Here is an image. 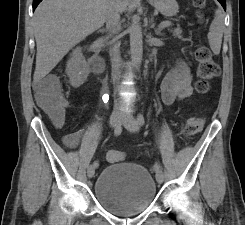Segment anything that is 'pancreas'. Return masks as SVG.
Returning a JSON list of instances; mask_svg holds the SVG:
<instances>
[{
	"mask_svg": "<svg viewBox=\"0 0 245 225\" xmlns=\"http://www.w3.org/2000/svg\"><path fill=\"white\" fill-rule=\"evenodd\" d=\"M174 36L181 37L182 29L180 27H177L175 29L170 30Z\"/></svg>",
	"mask_w": 245,
	"mask_h": 225,
	"instance_id": "1",
	"label": "pancreas"
}]
</instances>
